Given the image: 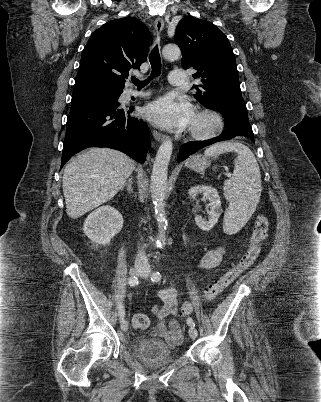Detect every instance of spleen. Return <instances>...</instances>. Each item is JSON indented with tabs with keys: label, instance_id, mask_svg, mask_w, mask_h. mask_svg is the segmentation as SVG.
Masks as SVG:
<instances>
[{
	"label": "spleen",
	"instance_id": "3e777b00",
	"mask_svg": "<svg viewBox=\"0 0 321 402\" xmlns=\"http://www.w3.org/2000/svg\"><path fill=\"white\" fill-rule=\"evenodd\" d=\"M225 152L237 154L234 172L224 182V196L229 206L224 214L223 230L227 234L239 231L254 213L261 196V174L252 151L235 141L216 143L204 152L206 157L217 158Z\"/></svg>",
	"mask_w": 321,
	"mask_h": 402
}]
</instances>
